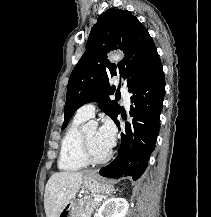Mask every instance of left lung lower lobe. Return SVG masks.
Masks as SVG:
<instances>
[{"label":"left lung lower lobe","instance_id":"left-lung-lower-lobe-1","mask_svg":"<svg viewBox=\"0 0 211 217\" xmlns=\"http://www.w3.org/2000/svg\"><path fill=\"white\" fill-rule=\"evenodd\" d=\"M132 93L130 116L121 134V146L117 157L99 174L108 178L132 177L137 180L145 171L154 150L159 128V115L163 108L165 78L162 64L138 81ZM120 128L119 122L115 121Z\"/></svg>","mask_w":211,"mask_h":217}]
</instances>
